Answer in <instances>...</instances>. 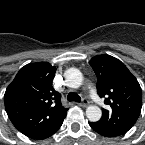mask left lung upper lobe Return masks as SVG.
Returning a JSON list of instances; mask_svg holds the SVG:
<instances>
[{
	"label": "left lung upper lobe",
	"mask_w": 145,
	"mask_h": 145,
	"mask_svg": "<svg viewBox=\"0 0 145 145\" xmlns=\"http://www.w3.org/2000/svg\"><path fill=\"white\" fill-rule=\"evenodd\" d=\"M97 76V93L107 109L93 124L114 136L124 135L136 123L142 107L141 87L134 75L117 58L98 55L90 60Z\"/></svg>",
	"instance_id": "1"
}]
</instances>
